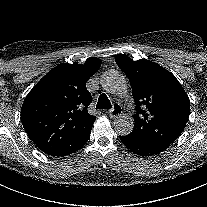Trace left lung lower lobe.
I'll return each mask as SVG.
<instances>
[{"mask_svg":"<svg viewBox=\"0 0 207 207\" xmlns=\"http://www.w3.org/2000/svg\"><path fill=\"white\" fill-rule=\"evenodd\" d=\"M120 140L128 149H130V151L140 156H153L162 152L156 148L149 147L140 141H136L130 138L128 135L120 136Z\"/></svg>","mask_w":207,"mask_h":207,"instance_id":"left-lung-lower-lobe-1","label":"left lung lower lobe"}]
</instances>
